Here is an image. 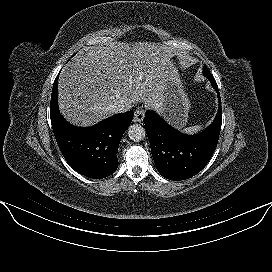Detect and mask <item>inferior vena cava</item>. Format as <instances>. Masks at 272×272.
Instances as JSON below:
<instances>
[{"label":"inferior vena cava","instance_id":"1","mask_svg":"<svg viewBox=\"0 0 272 272\" xmlns=\"http://www.w3.org/2000/svg\"><path fill=\"white\" fill-rule=\"evenodd\" d=\"M132 104L130 102H122L116 106H113L114 113L127 112L131 109Z\"/></svg>","mask_w":272,"mask_h":272}]
</instances>
